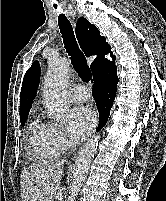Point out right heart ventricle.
<instances>
[{"mask_svg":"<svg viewBox=\"0 0 166 201\" xmlns=\"http://www.w3.org/2000/svg\"><path fill=\"white\" fill-rule=\"evenodd\" d=\"M30 154L38 161L53 160L60 152L52 138V124L35 119L29 126Z\"/></svg>","mask_w":166,"mask_h":201,"instance_id":"obj_1","label":"right heart ventricle"}]
</instances>
